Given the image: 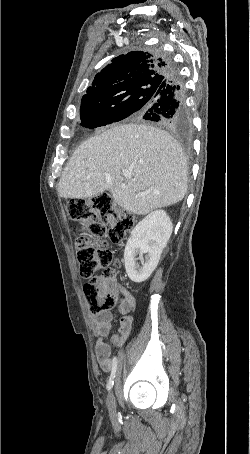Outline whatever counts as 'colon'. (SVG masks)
<instances>
[{"label": "colon", "instance_id": "1", "mask_svg": "<svg viewBox=\"0 0 250 454\" xmlns=\"http://www.w3.org/2000/svg\"><path fill=\"white\" fill-rule=\"evenodd\" d=\"M68 214L79 224L76 253L80 275L86 279L83 290L94 314L111 310L118 300L117 266L107 242L118 243L134 226V218L116 208L107 193L72 200ZM98 273V275H96Z\"/></svg>", "mask_w": 250, "mask_h": 454}]
</instances>
